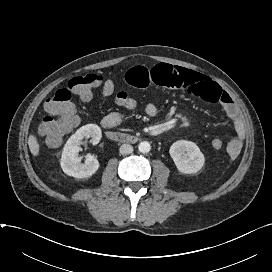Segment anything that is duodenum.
Returning a JSON list of instances; mask_svg holds the SVG:
<instances>
[{"mask_svg": "<svg viewBox=\"0 0 272 272\" xmlns=\"http://www.w3.org/2000/svg\"><path fill=\"white\" fill-rule=\"evenodd\" d=\"M106 136L108 139L115 142H120V143H135L138 141V138L134 135L112 131V130H108L106 132Z\"/></svg>", "mask_w": 272, "mask_h": 272, "instance_id": "duodenum-1", "label": "duodenum"}]
</instances>
